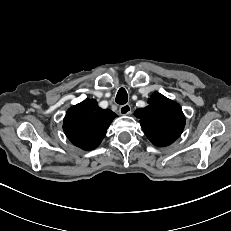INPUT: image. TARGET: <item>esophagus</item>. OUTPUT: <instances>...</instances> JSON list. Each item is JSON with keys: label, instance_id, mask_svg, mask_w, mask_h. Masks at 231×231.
<instances>
[{"label": "esophagus", "instance_id": "34e87169", "mask_svg": "<svg viewBox=\"0 0 231 231\" xmlns=\"http://www.w3.org/2000/svg\"><path fill=\"white\" fill-rule=\"evenodd\" d=\"M119 112L121 115H128L131 113V106L130 104H124L119 107Z\"/></svg>", "mask_w": 231, "mask_h": 231}]
</instances>
